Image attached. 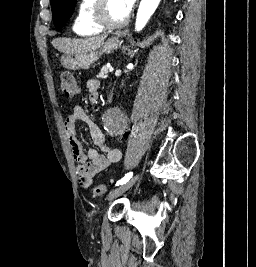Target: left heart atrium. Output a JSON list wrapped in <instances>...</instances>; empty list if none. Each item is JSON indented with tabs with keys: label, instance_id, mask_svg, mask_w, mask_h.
Instances as JSON below:
<instances>
[{
	"label": "left heart atrium",
	"instance_id": "obj_1",
	"mask_svg": "<svg viewBox=\"0 0 256 267\" xmlns=\"http://www.w3.org/2000/svg\"><path fill=\"white\" fill-rule=\"evenodd\" d=\"M114 2L117 4L123 16V21L121 22L119 27H123L128 22L129 16L134 8L136 0H114Z\"/></svg>",
	"mask_w": 256,
	"mask_h": 267
}]
</instances>
